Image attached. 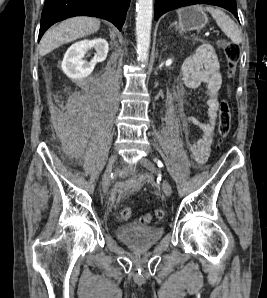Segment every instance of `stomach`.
I'll use <instances>...</instances> for the list:
<instances>
[{"mask_svg": "<svg viewBox=\"0 0 267 298\" xmlns=\"http://www.w3.org/2000/svg\"><path fill=\"white\" fill-rule=\"evenodd\" d=\"M176 29L180 32L201 30L208 23V15L196 6L184 7L177 11Z\"/></svg>", "mask_w": 267, "mask_h": 298, "instance_id": "obj_1", "label": "stomach"}]
</instances>
